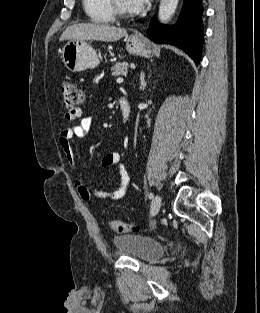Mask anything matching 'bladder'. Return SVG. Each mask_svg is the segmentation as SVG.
<instances>
[{
    "label": "bladder",
    "instance_id": "1",
    "mask_svg": "<svg viewBox=\"0 0 260 313\" xmlns=\"http://www.w3.org/2000/svg\"><path fill=\"white\" fill-rule=\"evenodd\" d=\"M113 243L126 256L141 261L157 259L164 253V246L159 241L139 234L115 236Z\"/></svg>",
    "mask_w": 260,
    "mask_h": 313
}]
</instances>
